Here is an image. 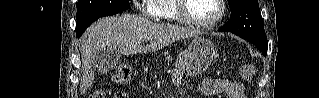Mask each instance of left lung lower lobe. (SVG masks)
I'll return each instance as SVG.
<instances>
[{"mask_svg":"<svg viewBox=\"0 0 319 98\" xmlns=\"http://www.w3.org/2000/svg\"><path fill=\"white\" fill-rule=\"evenodd\" d=\"M219 31H224V30L222 28H219ZM256 47L262 52L264 56L267 55V45L265 46L256 45Z\"/></svg>","mask_w":319,"mask_h":98,"instance_id":"1","label":"left lung lower lobe"}]
</instances>
